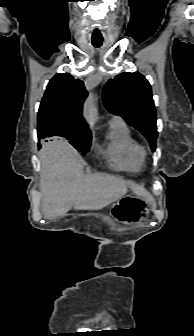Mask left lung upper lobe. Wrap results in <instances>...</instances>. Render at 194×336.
I'll use <instances>...</instances> for the list:
<instances>
[{"label":"left lung upper lobe","instance_id":"obj_1","mask_svg":"<svg viewBox=\"0 0 194 336\" xmlns=\"http://www.w3.org/2000/svg\"><path fill=\"white\" fill-rule=\"evenodd\" d=\"M105 107L139 130L155 149L157 139L156 111L151 86L138 72H124L110 79L103 90Z\"/></svg>","mask_w":194,"mask_h":336}]
</instances>
